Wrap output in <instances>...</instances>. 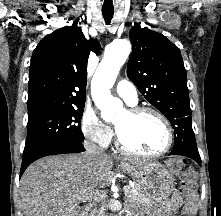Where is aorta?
Listing matches in <instances>:
<instances>
[{
    "label": "aorta",
    "mask_w": 221,
    "mask_h": 216,
    "mask_svg": "<svg viewBox=\"0 0 221 216\" xmlns=\"http://www.w3.org/2000/svg\"><path fill=\"white\" fill-rule=\"evenodd\" d=\"M131 51V44L126 39L113 41L105 50L104 59L100 62L91 81V95L95 105L101 111L105 121H111L123 111L121 100L111 95L110 89L115 83L121 66Z\"/></svg>",
    "instance_id": "aorta-1"
}]
</instances>
